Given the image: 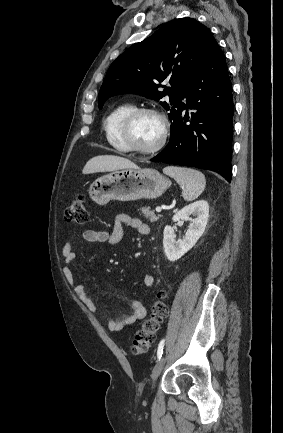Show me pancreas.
Listing matches in <instances>:
<instances>
[{
    "label": "pancreas",
    "instance_id": "1",
    "mask_svg": "<svg viewBox=\"0 0 283 433\" xmlns=\"http://www.w3.org/2000/svg\"><path fill=\"white\" fill-rule=\"evenodd\" d=\"M142 210L141 214L145 219H149L150 223H154V221H158L159 217L155 214L154 210H150V206H143V208H139Z\"/></svg>",
    "mask_w": 283,
    "mask_h": 433
}]
</instances>
